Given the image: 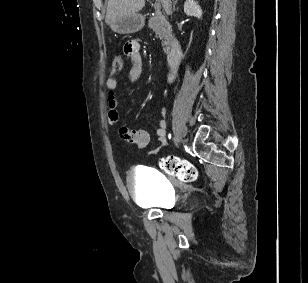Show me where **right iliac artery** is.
Instances as JSON below:
<instances>
[{"label":"right iliac artery","instance_id":"obj_1","mask_svg":"<svg viewBox=\"0 0 308 283\" xmlns=\"http://www.w3.org/2000/svg\"><path fill=\"white\" fill-rule=\"evenodd\" d=\"M168 137H169V139H171V134H169V136H168Z\"/></svg>","mask_w":308,"mask_h":283}]
</instances>
